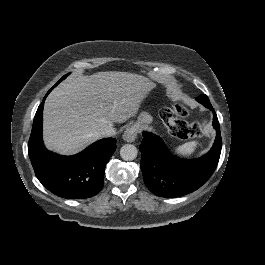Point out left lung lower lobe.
<instances>
[{
	"instance_id": "1",
	"label": "left lung lower lobe",
	"mask_w": 265,
	"mask_h": 265,
	"mask_svg": "<svg viewBox=\"0 0 265 265\" xmlns=\"http://www.w3.org/2000/svg\"><path fill=\"white\" fill-rule=\"evenodd\" d=\"M213 112L216 139L211 150L203 157L193 160L180 159L172 155L161 138L144 132L139 147L144 183L160 197H179L200 188L213 174L221 153L222 139L216 113L206 95L196 98Z\"/></svg>"
}]
</instances>
